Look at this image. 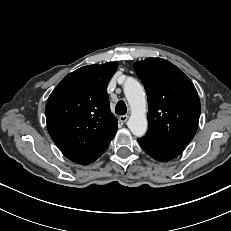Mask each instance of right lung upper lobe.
Listing matches in <instances>:
<instances>
[{"instance_id": "obj_1", "label": "right lung upper lobe", "mask_w": 231, "mask_h": 231, "mask_svg": "<svg viewBox=\"0 0 231 231\" xmlns=\"http://www.w3.org/2000/svg\"><path fill=\"white\" fill-rule=\"evenodd\" d=\"M116 69V62L81 67L68 74L48 98V132L73 162L87 165L97 160L117 132L107 94Z\"/></svg>"}]
</instances>
